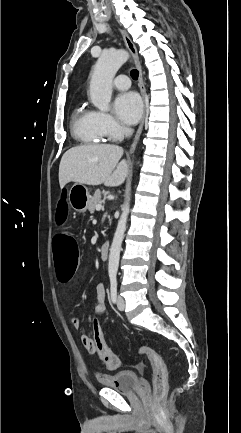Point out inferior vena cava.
<instances>
[{
	"label": "inferior vena cava",
	"mask_w": 241,
	"mask_h": 433,
	"mask_svg": "<svg viewBox=\"0 0 241 433\" xmlns=\"http://www.w3.org/2000/svg\"><path fill=\"white\" fill-rule=\"evenodd\" d=\"M132 133H133V129H131V128H126L125 129L126 136H130V135H132Z\"/></svg>",
	"instance_id": "1"
}]
</instances>
